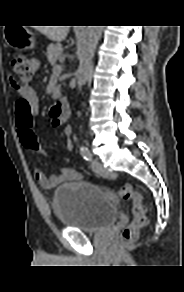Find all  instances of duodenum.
<instances>
[{"label":"duodenum","instance_id":"obj_1","mask_svg":"<svg viewBox=\"0 0 184 292\" xmlns=\"http://www.w3.org/2000/svg\"><path fill=\"white\" fill-rule=\"evenodd\" d=\"M52 116L59 121H64L69 117V103L65 99L56 100L51 108Z\"/></svg>","mask_w":184,"mask_h":292}]
</instances>
